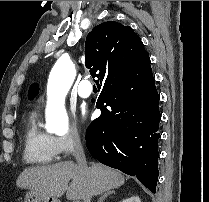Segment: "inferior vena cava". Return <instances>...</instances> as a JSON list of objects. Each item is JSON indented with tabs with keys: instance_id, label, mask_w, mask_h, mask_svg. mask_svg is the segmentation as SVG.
Returning <instances> with one entry per match:
<instances>
[{
	"instance_id": "602c4592",
	"label": "inferior vena cava",
	"mask_w": 209,
	"mask_h": 202,
	"mask_svg": "<svg viewBox=\"0 0 209 202\" xmlns=\"http://www.w3.org/2000/svg\"><path fill=\"white\" fill-rule=\"evenodd\" d=\"M73 155H74L75 160L77 162L80 173L84 176H88L89 168L87 166L85 154H84V151H83V147L80 143V140H77L75 142Z\"/></svg>"
}]
</instances>
